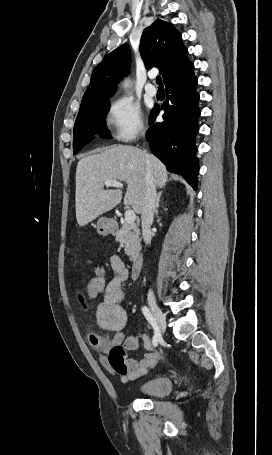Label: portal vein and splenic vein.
Here are the masks:
<instances>
[{"label": "portal vein and splenic vein", "instance_id": "1", "mask_svg": "<svg viewBox=\"0 0 272 455\" xmlns=\"http://www.w3.org/2000/svg\"><path fill=\"white\" fill-rule=\"evenodd\" d=\"M106 187H117V188H122L123 185L119 181L116 180H107L104 182ZM136 220V215L133 210H126L125 212V221L128 224H134Z\"/></svg>", "mask_w": 272, "mask_h": 455}]
</instances>
